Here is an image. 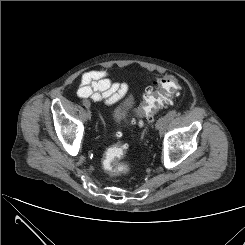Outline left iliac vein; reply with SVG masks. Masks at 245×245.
I'll use <instances>...</instances> for the list:
<instances>
[{
  "instance_id": "obj_1",
  "label": "left iliac vein",
  "mask_w": 245,
  "mask_h": 245,
  "mask_svg": "<svg viewBox=\"0 0 245 245\" xmlns=\"http://www.w3.org/2000/svg\"><path fill=\"white\" fill-rule=\"evenodd\" d=\"M166 120H167V117L163 116L156 123V129L159 130L160 133H162L164 130V127L166 125Z\"/></svg>"
}]
</instances>
